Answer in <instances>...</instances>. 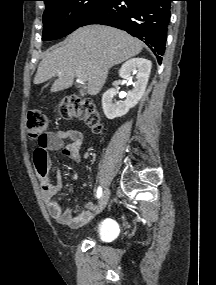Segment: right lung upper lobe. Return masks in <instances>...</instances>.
<instances>
[{
	"mask_svg": "<svg viewBox=\"0 0 216 285\" xmlns=\"http://www.w3.org/2000/svg\"><path fill=\"white\" fill-rule=\"evenodd\" d=\"M45 3H47L48 1H50V0H43Z\"/></svg>",
	"mask_w": 216,
	"mask_h": 285,
	"instance_id": "obj_1",
	"label": "right lung upper lobe"
}]
</instances>
